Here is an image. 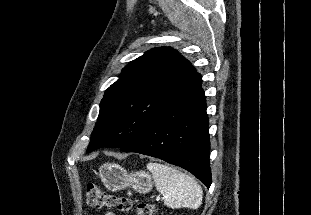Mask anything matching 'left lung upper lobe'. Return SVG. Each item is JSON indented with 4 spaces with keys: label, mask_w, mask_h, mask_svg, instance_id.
<instances>
[{
    "label": "left lung upper lobe",
    "mask_w": 311,
    "mask_h": 215,
    "mask_svg": "<svg viewBox=\"0 0 311 215\" xmlns=\"http://www.w3.org/2000/svg\"><path fill=\"white\" fill-rule=\"evenodd\" d=\"M196 74L192 63L171 47L153 48L130 62L101 100L87 152L129 144Z\"/></svg>",
    "instance_id": "5c2ea615"
}]
</instances>
